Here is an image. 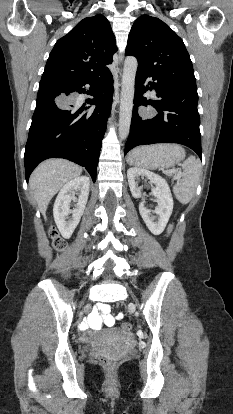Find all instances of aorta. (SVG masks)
<instances>
[{
	"instance_id": "obj_1",
	"label": "aorta",
	"mask_w": 233,
	"mask_h": 414,
	"mask_svg": "<svg viewBox=\"0 0 233 414\" xmlns=\"http://www.w3.org/2000/svg\"><path fill=\"white\" fill-rule=\"evenodd\" d=\"M137 66L138 62L135 57H126L122 76L119 113V137L122 140L127 138L130 131Z\"/></svg>"
}]
</instances>
